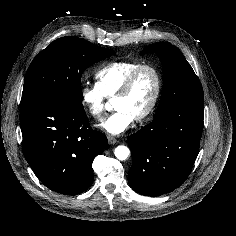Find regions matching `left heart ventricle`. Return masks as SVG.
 Returning a JSON list of instances; mask_svg holds the SVG:
<instances>
[{
  "instance_id": "1",
  "label": "left heart ventricle",
  "mask_w": 236,
  "mask_h": 236,
  "mask_svg": "<svg viewBox=\"0 0 236 236\" xmlns=\"http://www.w3.org/2000/svg\"><path fill=\"white\" fill-rule=\"evenodd\" d=\"M155 89L154 74L150 70H144L137 77L130 92L125 97L114 100V108L126 110L135 118L148 108Z\"/></svg>"
}]
</instances>
